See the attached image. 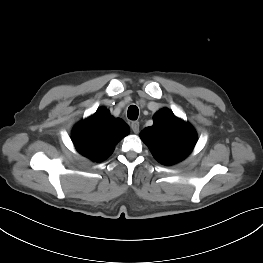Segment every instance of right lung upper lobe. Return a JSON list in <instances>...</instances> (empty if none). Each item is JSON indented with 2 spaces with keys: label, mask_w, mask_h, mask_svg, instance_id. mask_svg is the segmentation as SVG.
Segmentation results:
<instances>
[{
  "label": "right lung upper lobe",
  "mask_w": 263,
  "mask_h": 263,
  "mask_svg": "<svg viewBox=\"0 0 263 263\" xmlns=\"http://www.w3.org/2000/svg\"><path fill=\"white\" fill-rule=\"evenodd\" d=\"M128 133L129 126L123 120L100 108L74 127L72 141L82 155L100 162L110 156L115 145Z\"/></svg>",
  "instance_id": "cb5924a9"
}]
</instances>
